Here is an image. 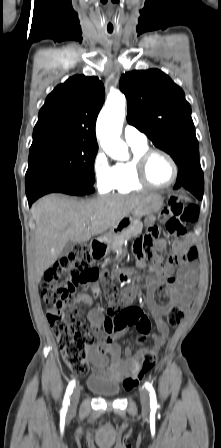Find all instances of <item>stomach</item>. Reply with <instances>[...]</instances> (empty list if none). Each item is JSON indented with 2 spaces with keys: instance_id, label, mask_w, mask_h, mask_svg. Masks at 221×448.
<instances>
[{
  "instance_id": "obj_1",
  "label": "stomach",
  "mask_w": 221,
  "mask_h": 448,
  "mask_svg": "<svg viewBox=\"0 0 221 448\" xmlns=\"http://www.w3.org/2000/svg\"><path fill=\"white\" fill-rule=\"evenodd\" d=\"M163 206V198L158 194L151 195L146 201L142 202L133 212V216H127L123 218L116 227L112 228L108 237L112 240L115 236L120 235L128 227H130L135 221L143 216L156 213Z\"/></svg>"
}]
</instances>
